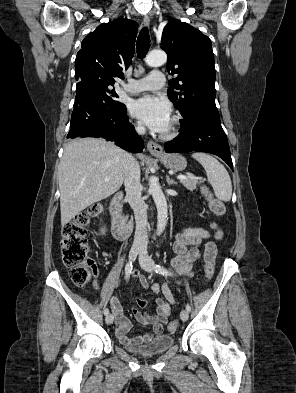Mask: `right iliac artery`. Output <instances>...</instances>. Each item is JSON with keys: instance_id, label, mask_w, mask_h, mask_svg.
<instances>
[{"instance_id": "82829eb1", "label": "right iliac artery", "mask_w": 296, "mask_h": 393, "mask_svg": "<svg viewBox=\"0 0 296 393\" xmlns=\"http://www.w3.org/2000/svg\"><path fill=\"white\" fill-rule=\"evenodd\" d=\"M131 271H132V262H129L125 266V279L129 278ZM108 314H109V310L106 308L104 310V315H108Z\"/></svg>"}]
</instances>
